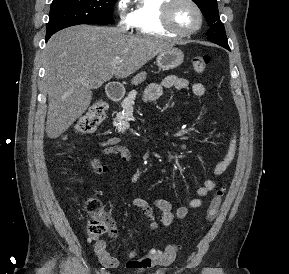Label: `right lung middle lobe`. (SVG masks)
Wrapping results in <instances>:
<instances>
[{
	"label": "right lung middle lobe",
	"mask_w": 289,
	"mask_h": 274,
	"mask_svg": "<svg viewBox=\"0 0 289 274\" xmlns=\"http://www.w3.org/2000/svg\"><path fill=\"white\" fill-rule=\"evenodd\" d=\"M117 0H53L46 28V40L55 32L79 24H112Z\"/></svg>",
	"instance_id": "1"
}]
</instances>
